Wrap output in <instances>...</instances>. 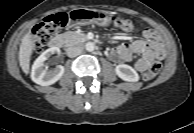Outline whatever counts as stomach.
I'll return each mask as SVG.
<instances>
[{
  "label": "stomach",
  "mask_w": 194,
  "mask_h": 133,
  "mask_svg": "<svg viewBox=\"0 0 194 133\" xmlns=\"http://www.w3.org/2000/svg\"><path fill=\"white\" fill-rule=\"evenodd\" d=\"M110 21V15L106 11L78 8L70 12L69 24L70 26H76L95 23L100 26H107Z\"/></svg>",
  "instance_id": "1"
}]
</instances>
